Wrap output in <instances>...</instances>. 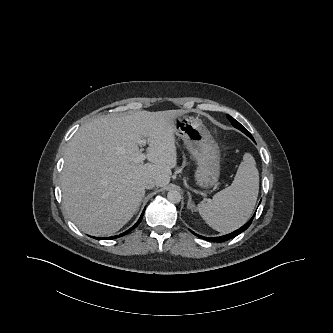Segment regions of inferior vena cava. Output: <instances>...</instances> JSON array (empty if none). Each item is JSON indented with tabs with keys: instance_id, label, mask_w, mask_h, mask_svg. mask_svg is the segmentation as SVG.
Listing matches in <instances>:
<instances>
[{
	"instance_id": "inferior-vena-cava-1",
	"label": "inferior vena cava",
	"mask_w": 333,
	"mask_h": 333,
	"mask_svg": "<svg viewBox=\"0 0 333 333\" xmlns=\"http://www.w3.org/2000/svg\"><path fill=\"white\" fill-rule=\"evenodd\" d=\"M156 186V181L153 179H149L145 182V188L146 189H151Z\"/></svg>"
}]
</instances>
